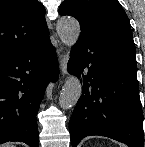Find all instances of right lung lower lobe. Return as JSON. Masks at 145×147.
Returning a JSON list of instances; mask_svg holds the SVG:
<instances>
[{"label":"right lung lower lobe","instance_id":"obj_1","mask_svg":"<svg viewBox=\"0 0 145 147\" xmlns=\"http://www.w3.org/2000/svg\"><path fill=\"white\" fill-rule=\"evenodd\" d=\"M59 76L57 54L49 36L0 59V144L22 141L38 147L36 114L45 81Z\"/></svg>","mask_w":145,"mask_h":147}]
</instances>
